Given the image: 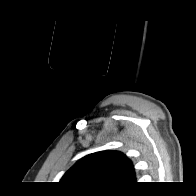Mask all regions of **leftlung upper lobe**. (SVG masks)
Instances as JSON below:
<instances>
[{
    "mask_svg": "<svg viewBox=\"0 0 196 196\" xmlns=\"http://www.w3.org/2000/svg\"><path fill=\"white\" fill-rule=\"evenodd\" d=\"M131 161L118 151H101L79 160L61 178L68 188L84 192H111L135 183Z\"/></svg>",
    "mask_w": 196,
    "mask_h": 196,
    "instance_id": "5c2ea615",
    "label": "left lung upper lobe"
}]
</instances>
